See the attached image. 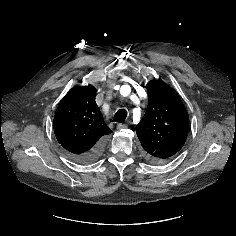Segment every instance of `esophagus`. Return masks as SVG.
Returning <instances> with one entry per match:
<instances>
[{"label": "esophagus", "mask_w": 236, "mask_h": 236, "mask_svg": "<svg viewBox=\"0 0 236 236\" xmlns=\"http://www.w3.org/2000/svg\"><path fill=\"white\" fill-rule=\"evenodd\" d=\"M128 126L126 125V124H122V123H119L118 125H117V129L118 130H123V129H126Z\"/></svg>", "instance_id": "esophagus-1"}]
</instances>
